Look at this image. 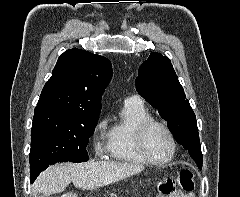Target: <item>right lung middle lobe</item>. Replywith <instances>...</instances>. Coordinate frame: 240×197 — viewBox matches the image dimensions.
I'll return each mask as SVG.
<instances>
[{"label":"right lung middle lobe","instance_id":"dd1d6c3e","mask_svg":"<svg viewBox=\"0 0 240 197\" xmlns=\"http://www.w3.org/2000/svg\"><path fill=\"white\" fill-rule=\"evenodd\" d=\"M99 115L62 113L35 114L31 129V182L56 162L89 160L86 146L94 133Z\"/></svg>","mask_w":240,"mask_h":197}]
</instances>
